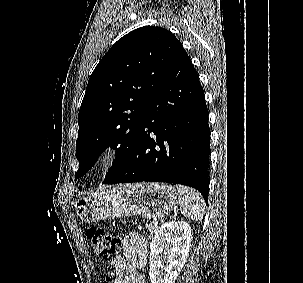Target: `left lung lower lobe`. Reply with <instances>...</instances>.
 Returning a JSON list of instances; mask_svg holds the SVG:
<instances>
[{
	"label": "left lung lower lobe",
	"mask_w": 303,
	"mask_h": 283,
	"mask_svg": "<svg viewBox=\"0 0 303 283\" xmlns=\"http://www.w3.org/2000/svg\"><path fill=\"white\" fill-rule=\"evenodd\" d=\"M209 153L204 91L183 49L152 97L128 159L106 184H182L197 189L207 201Z\"/></svg>",
	"instance_id": "0a47b994"
}]
</instances>
